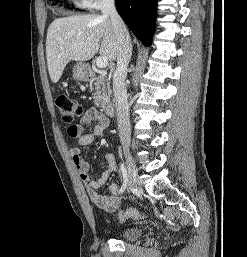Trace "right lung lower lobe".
<instances>
[{"mask_svg":"<svg viewBox=\"0 0 247 257\" xmlns=\"http://www.w3.org/2000/svg\"><path fill=\"white\" fill-rule=\"evenodd\" d=\"M117 12L131 31L150 46L155 30L157 0H116Z\"/></svg>","mask_w":247,"mask_h":257,"instance_id":"1","label":"right lung lower lobe"}]
</instances>
